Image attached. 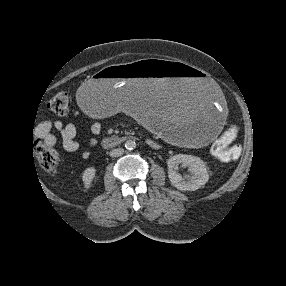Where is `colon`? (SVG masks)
Segmentation results:
<instances>
[{
    "instance_id": "colon-1",
    "label": "colon",
    "mask_w": 286,
    "mask_h": 286,
    "mask_svg": "<svg viewBox=\"0 0 286 286\" xmlns=\"http://www.w3.org/2000/svg\"><path fill=\"white\" fill-rule=\"evenodd\" d=\"M48 108L58 116L67 115L70 109L69 95L65 92L58 93L49 101ZM238 132V125H230L213 144V153L222 160L230 159V145L236 139ZM34 153L46 173H56L59 165V155L56 150L42 141H36Z\"/></svg>"
}]
</instances>
